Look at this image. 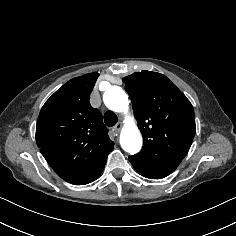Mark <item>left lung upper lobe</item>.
I'll list each match as a JSON object with an SVG mask.
<instances>
[{
  "label": "left lung upper lobe",
  "instance_id": "1",
  "mask_svg": "<svg viewBox=\"0 0 236 236\" xmlns=\"http://www.w3.org/2000/svg\"><path fill=\"white\" fill-rule=\"evenodd\" d=\"M143 136L132 157L159 166L177 167L195 135L194 110L186 96L163 74L133 73L123 79Z\"/></svg>",
  "mask_w": 236,
  "mask_h": 236
}]
</instances>
